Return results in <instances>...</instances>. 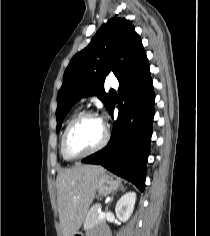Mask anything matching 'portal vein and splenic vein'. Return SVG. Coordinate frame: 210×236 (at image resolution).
I'll return each mask as SVG.
<instances>
[{"label": "portal vein and splenic vein", "instance_id": "1", "mask_svg": "<svg viewBox=\"0 0 210 236\" xmlns=\"http://www.w3.org/2000/svg\"><path fill=\"white\" fill-rule=\"evenodd\" d=\"M99 212V218L102 219L105 217V212H102L101 210H98Z\"/></svg>", "mask_w": 210, "mask_h": 236}]
</instances>
